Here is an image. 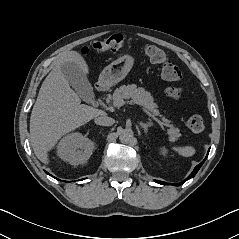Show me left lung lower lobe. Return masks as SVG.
Here are the masks:
<instances>
[{
  "instance_id": "1",
  "label": "left lung lower lobe",
  "mask_w": 239,
  "mask_h": 239,
  "mask_svg": "<svg viewBox=\"0 0 239 239\" xmlns=\"http://www.w3.org/2000/svg\"><path fill=\"white\" fill-rule=\"evenodd\" d=\"M205 159H206V158H205ZM205 159H204V161H205ZM204 161L201 162L200 164H198V165L195 167V169L193 170V172L188 176V178H187L185 181H187V180L193 178V177L196 175V173L198 172V170L200 169V167L202 166V164L204 163ZM156 182H157V183H160V184H163V185H167V183H165V182H163V181L157 180ZM183 183H184V181H183V182H180V183H178V184H172V185L180 186V185L183 184Z\"/></svg>"
}]
</instances>
